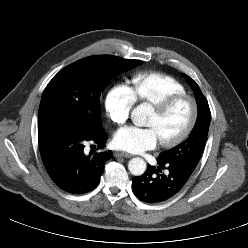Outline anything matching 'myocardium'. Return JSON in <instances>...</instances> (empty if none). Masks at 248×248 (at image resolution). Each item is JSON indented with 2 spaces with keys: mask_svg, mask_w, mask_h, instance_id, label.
I'll return each instance as SVG.
<instances>
[{
  "mask_svg": "<svg viewBox=\"0 0 248 248\" xmlns=\"http://www.w3.org/2000/svg\"><path fill=\"white\" fill-rule=\"evenodd\" d=\"M182 100H187L191 104L190 120L187 126L185 127V129L178 136H176L175 138L169 139V140L160 141V145L165 148L175 147L179 145L180 143H182L183 141H185L189 137V135L192 133L193 129L195 128V125L198 120L199 105H198L197 100L193 96L187 93H178V94H172V95L166 96L160 101H158L157 103L152 105L153 111L157 115L161 116L167 113L174 104Z\"/></svg>",
  "mask_w": 248,
  "mask_h": 248,
  "instance_id": "obj_1",
  "label": "myocardium"
}]
</instances>
